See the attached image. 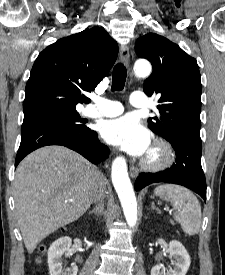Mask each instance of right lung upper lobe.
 I'll list each match as a JSON object with an SVG mask.
<instances>
[{"label": "right lung upper lobe", "instance_id": "right-lung-upper-lobe-1", "mask_svg": "<svg viewBox=\"0 0 225 275\" xmlns=\"http://www.w3.org/2000/svg\"><path fill=\"white\" fill-rule=\"evenodd\" d=\"M118 45L102 28L62 38L37 57L25 89L24 116L76 110L113 66Z\"/></svg>", "mask_w": 225, "mask_h": 275}]
</instances>
